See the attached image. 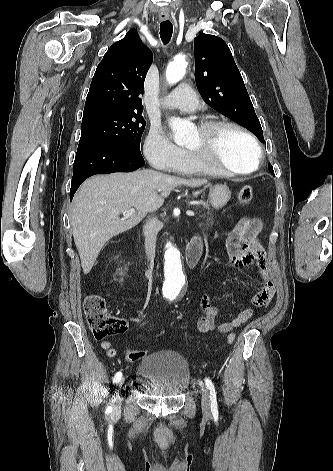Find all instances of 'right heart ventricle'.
Returning <instances> with one entry per match:
<instances>
[{
	"label": "right heart ventricle",
	"instance_id": "obj_1",
	"mask_svg": "<svg viewBox=\"0 0 333 471\" xmlns=\"http://www.w3.org/2000/svg\"><path fill=\"white\" fill-rule=\"evenodd\" d=\"M178 173L185 175H212L214 174L210 170L196 164L188 154L182 164L175 170Z\"/></svg>",
	"mask_w": 333,
	"mask_h": 471
}]
</instances>
